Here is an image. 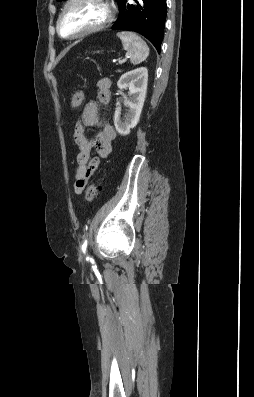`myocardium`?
<instances>
[{
  "label": "myocardium",
  "mask_w": 254,
  "mask_h": 397,
  "mask_svg": "<svg viewBox=\"0 0 254 397\" xmlns=\"http://www.w3.org/2000/svg\"><path fill=\"white\" fill-rule=\"evenodd\" d=\"M78 1L79 0H68L58 15V18L56 21V30H57L59 36L64 39H68V40L77 39V38L101 31L104 28L108 27L114 19V15H115L114 8H113L112 4L109 2V0H96L100 3H102L106 8L107 14H106L105 19L101 23H99L95 26L89 27L87 29H84L76 34L64 35L61 32V20H62L64 14L66 13V11L69 9V7Z\"/></svg>",
  "instance_id": "obj_1"
}]
</instances>
